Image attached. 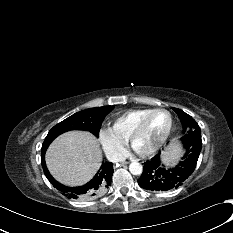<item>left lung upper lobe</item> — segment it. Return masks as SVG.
I'll return each instance as SVG.
<instances>
[{
	"mask_svg": "<svg viewBox=\"0 0 233 233\" xmlns=\"http://www.w3.org/2000/svg\"><path fill=\"white\" fill-rule=\"evenodd\" d=\"M173 110L178 114L183 130H186V134L183 136L182 140L188 147H193L194 144H202L201 142V130L197 122L187 113L178 108H173Z\"/></svg>",
	"mask_w": 233,
	"mask_h": 233,
	"instance_id": "obj_1",
	"label": "left lung upper lobe"
}]
</instances>
